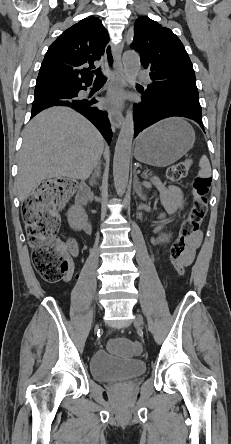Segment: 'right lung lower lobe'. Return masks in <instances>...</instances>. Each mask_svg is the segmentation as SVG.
I'll list each match as a JSON object with an SVG mask.
<instances>
[{
  "label": "right lung lower lobe",
  "mask_w": 231,
  "mask_h": 444,
  "mask_svg": "<svg viewBox=\"0 0 231 444\" xmlns=\"http://www.w3.org/2000/svg\"><path fill=\"white\" fill-rule=\"evenodd\" d=\"M85 83L86 85H90L91 81ZM82 89H85V87L79 83L71 85L68 88H57L36 92L32 105L31 118L40 111L52 106H68L80 112L88 120H90L109 144L112 137V131L107 113L95 106L97 103L95 98H81L78 95V92Z\"/></svg>",
  "instance_id": "98d812e1"
}]
</instances>
